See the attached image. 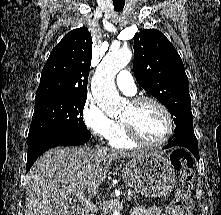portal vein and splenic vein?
<instances>
[{"mask_svg": "<svg viewBox=\"0 0 221 215\" xmlns=\"http://www.w3.org/2000/svg\"><path fill=\"white\" fill-rule=\"evenodd\" d=\"M74 199L79 200L82 204H84L89 209H93L95 207L94 204L90 201V199L83 196V194H78V195L74 196ZM130 199H131V197L128 196L127 200H130Z\"/></svg>", "mask_w": 221, "mask_h": 215, "instance_id": "obj_1", "label": "portal vein and splenic vein"}]
</instances>
